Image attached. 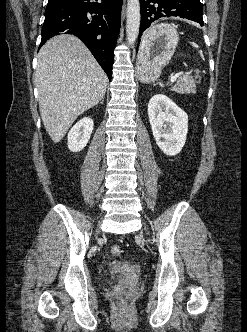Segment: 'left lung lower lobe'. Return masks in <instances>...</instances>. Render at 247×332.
Returning a JSON list of instances; mask_svg holds the SVG:
<instances>
[{
  "label": "left lung lower lobe",
  "mask_w": 247,
  "mask_h": 332,
  "mask_svg": "<svg viewBox=\"0 0 247 332\" xmlns=\"http://www.w3.org/2000/svg\"><path fill=\"white\" fill-rule=\"evenodd\" d=\"M140 8L139 38L151 23L162 17L178 16L204 25L200 0H140Z\"/></svg>",
  "instance_id": "0a47b994"
}]
</instances>
